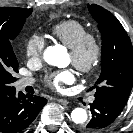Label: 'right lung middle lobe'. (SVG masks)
<instances>
[{
	"label": "right lung middle lobe",
	"instance_id": "obj_1",
	"mask_svg": "<svg viewBox=\"0 0 133 133\" xmlns=\"http://www.w3.org/2000/svg\"><path fill=\"white\" fill-rule=\"evenodd\" d=\"M31 13L32 9L18 8L0 15V96L15 90L12 83L16 81L13 75L18 72V62L11 42Z\"/></svg>",
	"mask_w": 133,
	"mask_h": 133
}]
</instances>
